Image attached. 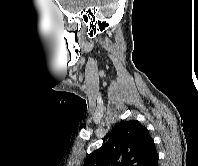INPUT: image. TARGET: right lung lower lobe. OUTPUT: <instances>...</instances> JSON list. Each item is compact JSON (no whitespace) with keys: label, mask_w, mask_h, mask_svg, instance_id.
I'll use <instances>...</instances> for the list:
<instances>
[{"label":"right lung lower lobe","mask_w":198,"mask_h":166,"mask_svg":"<svg viewBox=\"0 0 198 166\" xmlns=\"http://www.w3.org/2000/svg\"><path fill=\"white\" fill-rule=\"evenodd\" d=\"M158 160H159V157H158V154H156V155L149 161V163H148L146 166H158Z\"/></svg>","instance_id":"right-lung-lower-lobe-1"}]
</instances>
